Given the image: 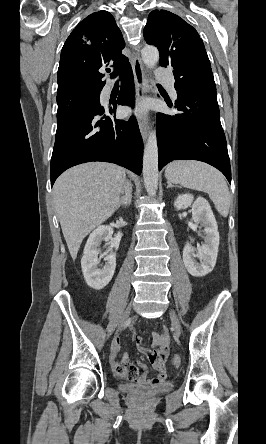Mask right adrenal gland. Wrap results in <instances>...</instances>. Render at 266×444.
<instances>
[{
    "mask_svg": "<svg viewBox=\"0 0 266 444\" xmlns=\"http://www.w3.org/2000/svg\"><path fill=\"white\" fill-rule=\"evenodd\" d=\"M128 205H129V203L127 202L126 198H125L124 196H122L121 199H120V201H119V204H118V206H117V209H119L121 206H122L123 208H127Z\"/></svg>",
    "mask_w": 266,
    "mask_h": 444,
    "instance_id": "right-adrenal-gland-1",
    "label": "right adrenal gland"
}]
</instances>
